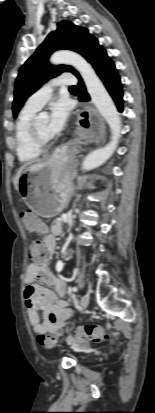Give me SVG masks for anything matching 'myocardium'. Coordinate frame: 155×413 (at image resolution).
Returning a JSON list of instances; mask_svg holds the SVG:
<instances>
[{"mask_svg":"<svg viewBox=\"0 0 155 413\" xmlns=\"http://www.w3.org/2000/svg\"><path fill=\"white\" fill-rule=\"evenodd\" d=\"M29 135H30V139H31L32 143L34 144V146H36L40 150L45 148L50 143V138L49 139H44L38 133L37 128H36V121L35 120H33L31 125H30Z\"/></svg>","mask_w":155,"mask_h":413,"instance_id":"myocardium-1","label":"myocardium"}]
</instances>
